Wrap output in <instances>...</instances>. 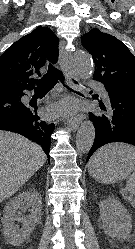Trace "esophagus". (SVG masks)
<instances>
[{
	"instance_id": "34e87169",
	"label": "esophagus",
	"mask_w": 135,
	"mask_h": 249,
	"mask_svg": "<svg viewBox=\"0 0 135 249\" xmlns=\"http://www.w3.org/2000/svg\"><path fill=\"white\" fill-rule=\"evenodd\" d=\"M63 45H64V42L62 41L60 44L59 58H60V62L62 64V66L64 67V69L67 72L68 82L71 83L72 79L78 81V74H77V71L75 70V68L72 64L71 55L69 52H67L63 48ZM77 89L79 91L83 90L82 87H77ZM81 120H82V116L67 118V126L71 130L76 131L81 123Z\"/></svg>"
}]
</instances>
